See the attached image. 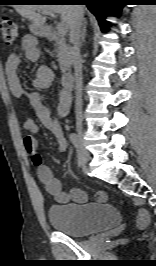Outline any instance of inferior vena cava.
<instances>
[{"mask_svg":"<svg viewBox=\"0 0 156 266\" xmlns=\"http://www.w3.org/2000/svg\"><path fill=\"white\" fill-rule=\"evenodd\" d=\"M81 26L82 18L76 12L74 15L73 24L70 29V39L73 43V57H74V82H75V113L76 119H81L82 114V60L80 57V47H81Z\"/></svg>","mask_w":156,"mask_h":266,"instance_id":"obj_1","label":"inferior vena cava"}]
</instances>
